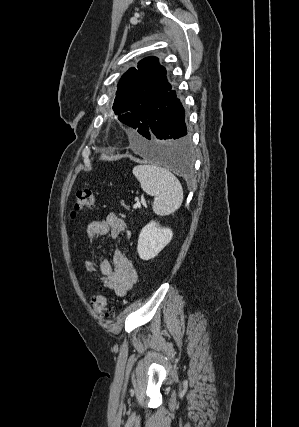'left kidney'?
Returning <instances> with one entry per match:
<instances>
[{
	"instance_id": "5707ae66",
	"label": "left kidney",
	"mask_w": 299,
	"mask_h": 427,
	"mask_svg": "<svg viewBox=\"0 0 299 427\" xmlns=\"http://www.w3.org/2000/svg\"><path fill=\"white\" fill-rule=\"evenodd\" d=\"M173 232L161 227L158 222L151 221L140 232L137 251L141 259L150 260L158 255L169 244Z\"/></svg>"
}]
</instances>
